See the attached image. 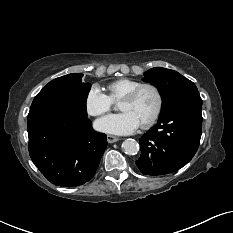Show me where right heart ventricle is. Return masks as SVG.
<instances>
[{"label": "right heart ventricle", "mask_w": 233, "mask_h": 233, "mask_svg": "<svg viewBox=\"0 0 233 233\" xmlns=\"http://www.w3.org/2000/svg\"><path fill=\"white\" fill-rule=\"evenodd\" d=\"M140 84L142 83L129 78L118 79L111 82L107 86L108 96L112 100V102L120 101L126 94H128L131 90H133Z\"/></svg>", "instance_id": "1"}]
</instances>
